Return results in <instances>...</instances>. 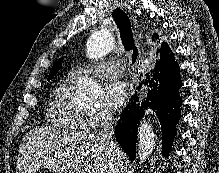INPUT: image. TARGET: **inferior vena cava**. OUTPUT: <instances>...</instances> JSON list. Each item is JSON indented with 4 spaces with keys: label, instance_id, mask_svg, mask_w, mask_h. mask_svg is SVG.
Segmentation results:
<instances>
[{
    "label": "inferior vena cava",
    "instance_id": "obj_1",
    "mask_svg": "<svg viewBox=\"0 0 219 173\" xmlns=\"http://www.w3.org/2000/svg\"><path fill=\"white\" fill-rule=\"evenodd\" d=\"M114 126H113V115L111 112H106L101 123L100 131L98 136L105 141L109 148V158L111 164L110 173H115L117 170L114 168L116 164L117 156L119 153V147L117 143L113 140Z\"/></svg>",
    "mask_w": 219,
    "mask_h": 173
}]
</instances>
